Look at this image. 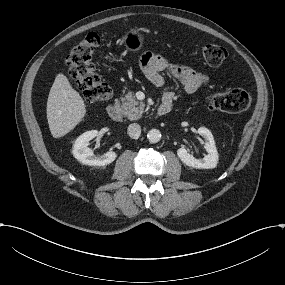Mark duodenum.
I'll return each mask as SVG.
<instances>
[{
  "label": "duodenum",
  "mask_w": 285,
  "mask_h": 285,
  "mask_svg": "<svg viewBox=\"0 0 285 285\" xmlns=\"http://www.w3.org/2000/svg\"><path fill=\"white\" fill-rule=\"evenodd\" d=\"M173 105V95L170 92L164 94L162 98V102L157 108V114L159 116H164L169 113ZM107 113L109 117L114 120L118 121L121 119L122 113L121 109L118 104H111L107 108Z\"/></svg>",
  "instance_id": "410a0bca"
}]
</instances>
